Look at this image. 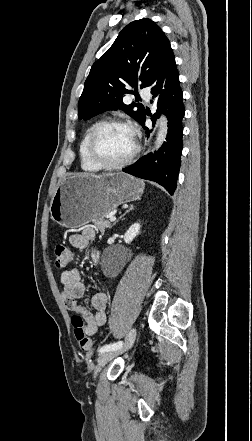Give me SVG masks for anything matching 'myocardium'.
Returning <instances> with one entry per match:
<instances>
[{
	"label": "myocardium",
	"instance_id": "obj_1",
	"mask_svg": "<svg viewBox=\"0 0 252 441\" xmlns=\"http://www.w3.org/2000/svg\"><path fill=\"white\" fill-rule=\"evenodd\" d=\"M107 126H124L131 131L134 138V147L131 153L125 159L117 163L104 162L95 153V149H94L95 140L98 134L100 133V131ZM139 150H140V145L137 139V132L134 126L130 122L119 118H111L98 122L92 129L87 142V155L89 159L101 169H107V170H116V169L124 168L133 161V159L138 154Z\"/></svg>",
	"mask_w": 252,
	"mask_h": 441
}]
</instances>
